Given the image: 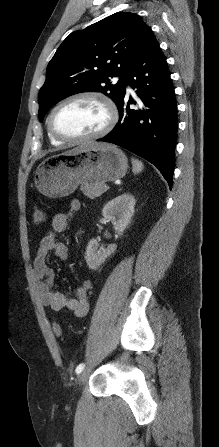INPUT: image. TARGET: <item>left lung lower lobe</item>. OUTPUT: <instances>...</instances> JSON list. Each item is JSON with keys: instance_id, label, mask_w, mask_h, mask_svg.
<instances>
[{"instance_id": "obj_1", "label": "left lung lower lobe", "mask_w": 219, "mask_h": 447, "mask_svg": "<svg viewBox=\"0 0 219 447\" xmlns=\"http://www.w3.org/2000/svg\"><path fill=\"white\" fill-rule=\"evenodd\" d=\"M166 58L154 35L132 62L125 78L136 89L142 109H130L136 104L126 91L118 104L119 121L105 141L122 146L155 165L172 187L178 118L174 87Z\"/></svg>"}]
</instances>
